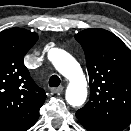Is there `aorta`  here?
<instances>
[{
  "label": "aorta",
  "mask_w": 131,
  "mask_h": 131,
  "mask_svg": "<svg viewBox=\"0 0 131 131\" xmlns=\"http://www.w3.org/2000/svg\"><path fill=\"white\" fill-rule=\"evenodd\" d=\"M52 63L56 70L69 80L66 100L73 106H81L87 97V82L77 61L61 49H52Z\"/></svg>",
  "instance_id": "1"
}]
</instances>
